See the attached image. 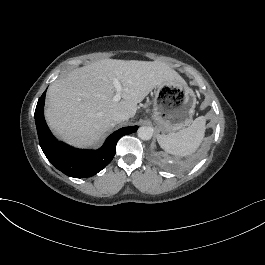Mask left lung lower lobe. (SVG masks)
I'll list each match as a JSON object with an SVG mask.
<instances>
[{
  "mask_svg": "<svg viewBox=\"0 0 265 265\" xmlns=\"http://www.w3.org/2000/svg\"><path fill=\"white\" fill-rule=\"evenodd\" d=\"M194 157V156H193ZM194 161H196V158H191V160L189 161V162H194ZM187 164H188V162H187ZM166 166L165 167H167L168 169H171V170H177V169H179L181 166H182V164H178V163H176V164H174V163H167V164H165ZM183 165H184V163H183ZM185 165H186V163H185Z\"/></svg>",
  "mask_w": 265,
  "mask_h": 265,
  "instance_id": "1",
  "label": "left lung lower lobe"
}]
</instances>
